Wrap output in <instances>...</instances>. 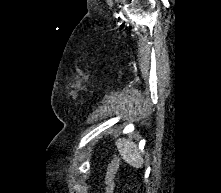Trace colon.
<instances>
[{"label":"colon","mask_w":221,"mask_h":193,"mask_svg":"<svg viewBox=\"0 0 221 193\" xmlns=\"http://www.w3.org/2000/svg\"><path fill=\"white\" fill-rule=\"evenodd\" d=\"M118 168H119V160L116 156H113L108 165L106 176H105L106 193H114L115 177H116Z\"/></svg>","instance_id":"5ec220e1"}]
</instances>
